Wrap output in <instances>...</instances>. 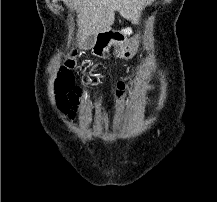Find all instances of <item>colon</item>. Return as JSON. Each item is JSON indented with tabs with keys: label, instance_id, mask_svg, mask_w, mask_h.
<instances>
[{
	"label": "colon",
	"instance_id": "1",
	"mask_svg": "<svg viewBox=\"0 0 217 202\" xmlns=\"http://www.w3.org/2000/svg\"><path fill=\"white\" fill-rule=\"evenodd\" d=\"M73 55H69V60H64V63H68V67L58 68L60 74L58 75V80H63V82H58V90L60 96H76L78 94V83L70 82L73 78H80V73H75L72 68H75V63H72L74 60V55H80V50H73ZM131 87L130 82L121 81L116 84V87L112 91H107L106 94H102L100 91H93V96H100L101 99L108 100V96H113L116 101L122 102L126 97V91ZM60 102H78V97H60ZM68 111H75V106H68ZM75 112H63V117H75Z\"/></svg>",
	"mask_w": 217,
	"mask_h": 202
}]
</instances>
